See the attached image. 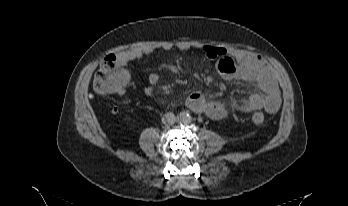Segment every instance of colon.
Returning <instances> with one entry per match:
<instances>
[{
  "label": "colon",
  "mask_w": 348,
  "mask_h": 206,
  "mask_svg": "<svg viewBox=\"0 0 348 206\" xmlns=\"http://www.w3.org/2000/svg\"><path fill=\"white\" fill-rule=\"evenodd\" d=\"M129 81V72L123 66L116 55L109 54L104 57L94 76V88L100 94H114L124 89ZM116 107L111 108L115 113ZM252 121L261 125L265 122V115L256 111L252 115Z\"/></svg>",
  "instance_id": "obj_1"
}]
</instances>
